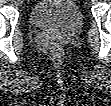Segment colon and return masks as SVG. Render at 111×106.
<instances>
[{"instance_id": "obj_1", "label": "colon", "mask_w": 111, "mask_h": 106, "mask_svg": "<svg viewBox=\"0 0 111 106\" xmlns=\"http://www.w3.org/2000/svg\"><path fill=\"white\" fill-rule=\"evenodd\" d=\"M60 55H61V51H60V50H56V51L54 52V57H55V58H59Z\"/></svg>"}]
</instances>
